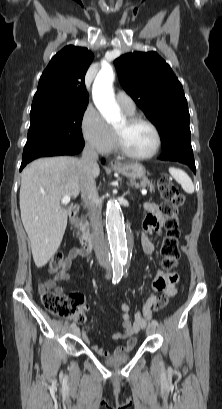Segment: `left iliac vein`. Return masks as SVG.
<instances>
[{"instance_id": "left-iliac-vein-1", "label": "left iliac vein", "mask_w": 222, "mask_h": 409, "mask_svg": "<svg viewBox=\"0 0 222 409\" xmlns=\"http://www.w3.org/2000/svg\"><path fill=\"white\" fill-rule=\"evenodd\" d=\"M147 334L152 335L156 332V326L152 323L147 326Z\"/></svg>"}]
</instances>
